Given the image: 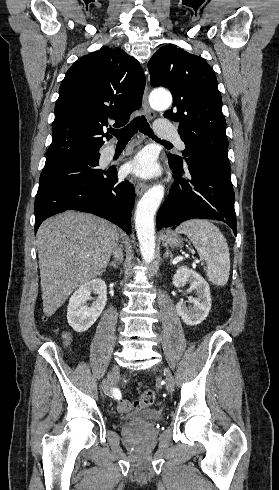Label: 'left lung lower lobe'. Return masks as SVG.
<instances>
[{
	"mask_svg": "<svg viewBox=\"0 0 279 490\" xmlns=\"http://www.w3.org/2000/svg\"><path fill=\"white\" fill-rule=\"evenodd\" d=\"M175 185L157 215V230L195 218L216 219L228 224L236 236L235 194L230 165L208 156H198L177 166Z\"/></svg>",
	"mask_w": 279,
	"mask_h": 490,
	"instance_id": "1",
	"label": "left lung lower lobe"
}]
</instances>
